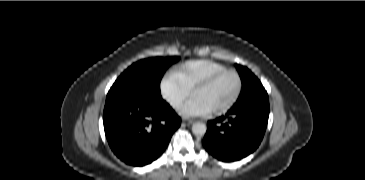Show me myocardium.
I'll return each instance as SVG.
<instances>
[{"mask_svg": "<svg viewBox=\"0 0 365 180\" xmlns=\"http://www.w3.org/2000/svg\"><path fill=\"white\" fill-rule=\"evenodd\" d=\"M229 73H232L237 77L238 85H237L236 92L229 102H227L226 104H224L218 108L210 110L209 112L212 114L218 115V114L225 113V112L229 111L231 108H233V106L237 103V101L239 100V98L241 96L242 90H243V78H242L241 74L236 69H232V68L225 69V70L215 74L214 76L208 78L207 80L203 81L192 91L191 95H192V97H195L197 93H199L200 91L211 86L216 81H218L220 78H222L224 75L229 74Z\"/></svg>", "mask_w": 365, "mask_h": 180, "instance_id": "1", "label": "myocardium"}]
</instances>
